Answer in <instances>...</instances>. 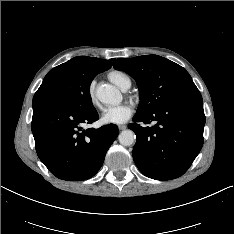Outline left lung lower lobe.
<instances>
[{
  "mask_svg": "<svg viewBox=\"0 0 234 234\" xmlns=\"http://www.w3.org/2000/svg\"><path fill=\"white\" fill-rule=\"evenodd\" d=\"M128 128L136 134L133 159L142 174L158 180L183 175L203 146L205 115L199 90L181 95L152 113L134 116ZM152 127H142L139 123Z\"/></svg>",
  "mask_w": 234,
  "mask_h": 234,
  "instance_id": "0a47b994",
  "label": "left lung lower lobe"
}]
</instances>
